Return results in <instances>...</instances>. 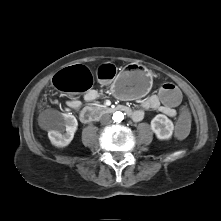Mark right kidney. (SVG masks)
Returning <instances> with one entry per match:
<instances>
[{"label": "right kidney", "mask_w": 221, "mask_h": 221, "mask_svg": "<svg viewBox=\"0 0 221 221\" xmlns=\"http://www.w3.org/2000/svg\"><path fill=\"white\" fill-rule=\"evenodd\" d=\"M78 122L75 116L60 113L56 116L53 128L48 131L51 143L59 148L67 146L73 139ZM66 131L65 133H63Z\"/></svg>", "instance_id": "obj_1"}]
</instances>
